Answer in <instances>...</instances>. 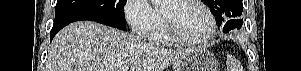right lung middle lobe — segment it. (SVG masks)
Wrapping results in <instances>:
<instances>
[{"mask_svg": "<svg viewBox=\"0 0 301 71\" xmlns=\"http://www.w3.org/2000/svg\"><path fill=\"white\" fill-rule=\"evenodd\" d=\"M125 2L126 0H58L55 21L78 14H98L117 22L125 29Z\"/></svg>", "mask_w": 301, "mask_h": 71, "instance_id": "obj_1", "label": "right lung middle lobe"}]
</instances>
